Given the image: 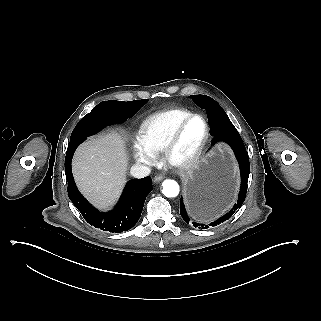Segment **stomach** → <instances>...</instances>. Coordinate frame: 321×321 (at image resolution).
I'll return each mask as SVG.
<instances>
[{"label":"stomach","instance_id":"0dacf381","mask_svg":"<svg viewBox=\"0 0 321 321\" xmlns=\"http://www.w3.org/2000/svg\"><path fill=\"white\" fill-rule=\"evenodd\" d=\"M184 201L189 214L199 220L205 213L231 205L239 185L238 167L232 151L215 146L183 176Z\"/></svg>","mask_w":321,"mask_h":321}]
</instances>
